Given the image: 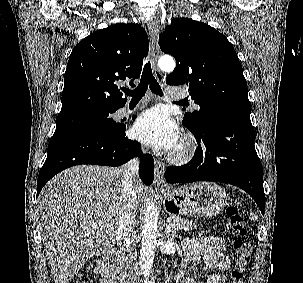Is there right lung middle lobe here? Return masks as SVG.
<instances>
[{
  "instance_id": "obj_1",
  "label": "right lung middle lobe",
  "mask_w": 303,
  "mask_h": 283,
  "mask_svg": "<svg viewBox=\"0 0 303 283\" xmlns=\"http://www.w3.org/2000/svg\"><path fill=\"white\" fill-rule=\"evenodd\" d=\"M114 111H84L56 119V130L54 134L72 131H83L92 134H114L125 128V125L116 123L111 115Z\"/></svg>"
}]
</instances>
